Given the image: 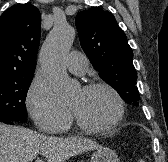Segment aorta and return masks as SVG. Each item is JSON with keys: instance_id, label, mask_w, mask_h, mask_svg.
<instances>
[{"instance_id": "obj_1", "label": "aorta", "mask_w": 168, "mask_h": 162, "mask_svg": "<svg viewBox=\"0 0 168 162\" xmlns=\"http://www.w3.org/2000/svg\"><path fill=\"white\" fill-rule=\"evenodd\" d=\"M75 29L65 21L56 22L41 47L39 59L44 76L58 98L70 99L76 87L67 74L64 59L72 47Z\"/></svg>"}]
</instances>
